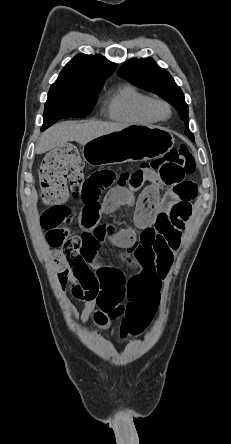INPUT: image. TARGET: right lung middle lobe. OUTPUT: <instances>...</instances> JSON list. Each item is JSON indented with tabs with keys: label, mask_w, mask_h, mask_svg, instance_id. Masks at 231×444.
Returning a JSON list of instances; mask_svg holds the SVG:
<instances>
[{
	"label": "right lung middle lobe",
	"mask_w": 231,
	"mask_h": 444,
	"mask_svg": "<svg viewBox=\"0 0 231 444\" xmlns=\"http://www.w3.org/2000/svg\"><path fill=\"white\" fill-rule=\"evenodd\" d=\"M98 90L78 91L54 89L49 90L45 103L44 123L42 130L62 118L85 117L90 114Z\"/></svg>",
	"instance_id": "dd1d6c3e"
}]
</instances>
